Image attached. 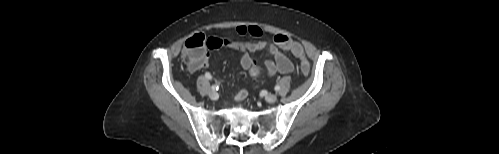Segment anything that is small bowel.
<instances>
[{
    "instance_id": "obj_1",
    "label": "small bowel",
    "mask_w": 499,
    "mask_h": 154,
    "mask_svg": "<svg viewBox=\"0 0 499 154\" xmlns=\"http://www.w3.org/2000/svg\"><path fill=\"white\" fill-rule=\"evenodd\" d=\"M236 31L240 35H251L253 37H260L262 31L257 26H245L241 25L236 28ZM208 47L210 50H216L219 48L232 49L239 53L240 62L245 70H249L253 66V60L251 59L249 53L252 52H263L273 58V61H266V74L268 78L273 77L277 72L282 74H288L293 71V64L290 59L279 50V48L272 42L268 40H258L241 42L232 39H222L217 37H210L208 39ZM210 53L206 60L196 68H190L191 71L195 72L201 67H205L210 60ZM247 97V91L245 89L239 90L235 95L234 99L237 101L244 100Z\"/></svg>"
}]
</instances>
